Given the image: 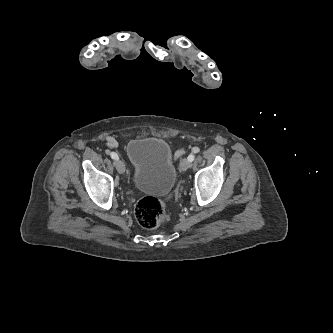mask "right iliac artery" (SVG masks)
<instances>
[{
  "mask_svg": "<svg viewBox=\"0 0 333 333\" xmlns=\"http://www.w3.org/2000/svg\"><path fill=\"white\" fill-rule=\"evenodd\" d=\"M110 156H111V158L114 159V160H118V158H119L118 155H117L115 152H111V153H110Z\"/></svg>",
  "mask_w": 333,
  "mask_h": 333,
  "instance_id": "right-iliac-artery-1",
  "label": "right iliac artery"
}]
</instances>
